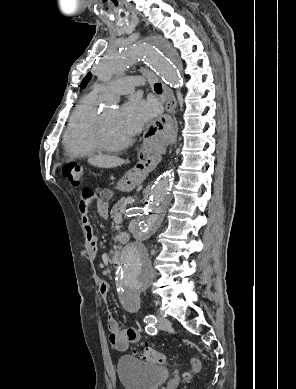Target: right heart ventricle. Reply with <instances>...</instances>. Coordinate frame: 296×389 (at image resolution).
I'll return each mask as SVG.
<instances>
[{
  "label": "right heart ventricle",
  "mask_w": 296,
  "mask_h": 389,
  "mask_svg": "<svg viewBox=\"0 0 296 389\" xmlns=\"http://www.w3.org/2000/svg\"><path fill=\"white\" fill-rule=\"evenodd\" d=\"M96 99V94L89 93L80 101L71 115L64 136V147L71 157L86 158L101 152L94 135L98 117L95 109Z\"/></svg>",
  "instance_id": "right-heart-ventricle-1"
}]
</instances>
